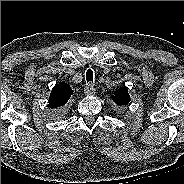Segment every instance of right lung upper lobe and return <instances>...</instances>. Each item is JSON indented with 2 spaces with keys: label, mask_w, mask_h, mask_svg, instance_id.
<instances>
[{
  "label": "right lung upper lobe",
  "mask_w": 184,
  "mask_h": 184,
  "mask_svg": "<svg viewBox=\"0 0 184 184\" xmlns=\"http://www.w3.org/2000/svg\"><path fill=\"white\" fill-rule=\"evenodd\" d=\"M73 91L69 84L60 82L54 86L49 96L48 106L51 109H61L68 102Z\"/></svg>",
  "instance_id": "right-lung-upper-lobe-1"
}]
</instances>
